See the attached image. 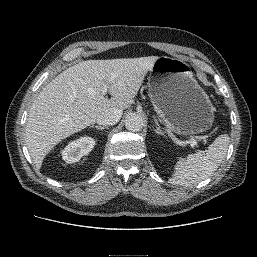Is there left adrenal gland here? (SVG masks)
<instances>
[{
  "instance_id": "left-adrenal-gland-1",
  "label": "left adrenal gland",
  "mask_w": 257,
  "mask_h": 257,
  "mask_svg": "<svg viewBox=\"0 0 257 257\" xmlns=\"http://www.w3.org/2000/svg\"><path fill=\"white\" fill-rule=\"evenodd\" d=\"M154 121H155V124H156V130L155 132L158 134V135H164L163 131L161 130V127L157 121V119L154 117Z\"/></svg>"
}]
</instances>
